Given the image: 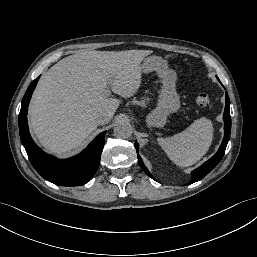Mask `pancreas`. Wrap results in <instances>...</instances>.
<instances>
[{"mask_svg": "<svg viewBox=\"0 0 257 257\" xmlns=\"http://www.w3.org/2000/svg\"><path fill=\"white\" fill-rule=\"evenodd\" d=\"M150 101V99L147 97H142L141 100H140V104L142 106H145L146 103H148Z\"/></svg>", "mask_w": 257, "mask_h": 257, "instance_id": "1", "label": "pancreas"}]
</instances>
